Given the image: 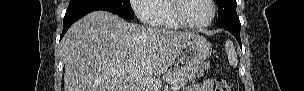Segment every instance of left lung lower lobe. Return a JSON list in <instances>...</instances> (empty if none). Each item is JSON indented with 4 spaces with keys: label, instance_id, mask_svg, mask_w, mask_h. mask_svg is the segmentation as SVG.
I'll use <instances>...</instances> for the list:
<instances>
[{
    "label": "left lung lower lobe",
    "instance_id": "left-lung-lower-lobe-1",
    "mask_svg": "<svg viewBox=\"0 0 304 91\" xmlns=\"http://www.w3.org/2000/svg\"><path fill=\"white\" fill-rule=\"evenodd\" d=\"M224 28H225V30L231 32L235 36V38L237 39V41L242 49V44H241V39H240L241 25H230V26H226Z\"/></svg>",
    "mask_w": 304,
    "mask_h": 91
}]
</instances>
